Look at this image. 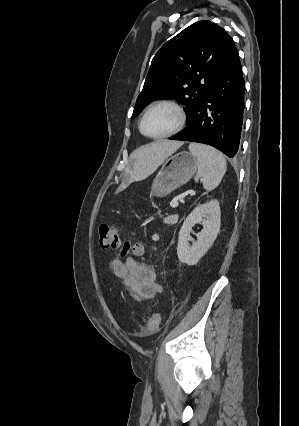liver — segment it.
<instances>
[{
	"mask_svg": "<svg viewBox=\"0 0 299 426\" xmlns=\"http://www.w3.org/2000/svg\"><path fill=\"white\" fill-rule=\"evenodd\" d=\"M183 145L181 141L159 140L135 150L132 155V176L143 178L152 174L167 157Z\"/></svg>",
	"mask_w": 299,
	"mask_h": 426,
	"instance_id": "1",
	"label": "liver"
}]
</instances>
